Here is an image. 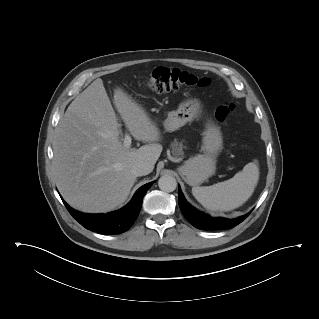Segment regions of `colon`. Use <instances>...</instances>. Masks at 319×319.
Returning <instances> with one entry per match:
<instances>
[{
    "label": "colon",
    "instance_id": "5ec220e1",
    "mask_svg": "<svg viewBox=\"0 0 319 319\" xmlns=\"http://www.w3.org/2000/svg\"><path fill=\"white\" fill-rule=\"evenodd\" d=\"M208 84V79L198 78L195 75L166 67L156 68L145 83V88L156 93L176 92L182 88L200 86ZM233 110L231 103L220 105L215 111L217 121L223 123Z\"/></svg>",
    "mask_w": 319,
    "mask_h": 319
}]
</instances>
